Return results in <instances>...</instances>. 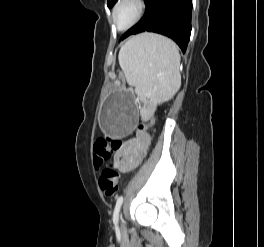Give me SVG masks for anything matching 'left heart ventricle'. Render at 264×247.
Segmentation results:
<instances>
[{"label": "left heart ventricle", "instance_id": "1", "mask_svg": "<svg viewBox=\"0 0 264 247\" xmlns=\"http://www.w3.org/2000/svg\"><path fill=\"white\" fill-rule=\"evenodd\" d=\"M134 7L130 3H126L119 9L116 20L119 25H126L134 16Z\"/></svg>", "mask_w": 264, "mask_h": 247}]
</instances>
